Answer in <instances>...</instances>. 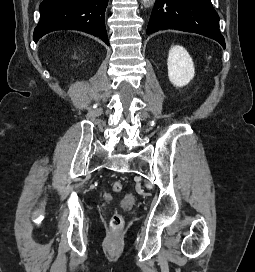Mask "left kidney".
<instances>
[{"instance_id":"left-kidney-1","label":"left kidney","mask_w":255,"mask_h":272,"mask_svg":"<svg viewBox=\"0 0 255 272\" xmlns=\"http://www.w3.org/2000/svg\"><path fill=\"white\" fill-rule=\"evenodd\" d=\"M167 65L169 80L176 87L187 85L194 77L193 60L182 46L171 47Z\"/></svg>"}]
</instances>
